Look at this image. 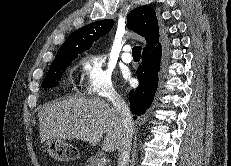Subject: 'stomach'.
<instances>
[{
    "mask_svg": "<svg viewBox=\"0 0 231 166\" xmlns=\"http://www.w3.org/2000/svg\"><path fill=\"white\" fill-rule=\"evenodd\" d=\"M48 153L58 161L75 160L79 157V151L62 139L46 141Z\"/></svg>",
    "mask_w": 231,
    "mask_h": 166,
    "instance_id": "obj_1",
    "label": "stomach"
}]
</instances>
